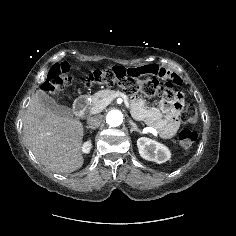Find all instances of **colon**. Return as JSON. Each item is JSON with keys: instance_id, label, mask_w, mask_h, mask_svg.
I'll use <instances>...</instances> for the list:
<instances>
[{"instance_id": "1", "label": "colon", "mask_w": 236, "mask_h": 236, "mask_svg": "<svg viewBox=\"0 0 236 236\" xmlns=\"http://www.w3.org/2000/svg\"><path fill=\"white\" fill-rule=\"evenodd\" d=\"M119 66L99 68L94 70L87 78L86 85H113L118 84L130 95L142 94L149 98L160 97L174 103L181 100L180 94L175 90L171 82H164L157 78L147 80L130 79L118 74ZM72 83L71 67L67 63L53 65L48 73L42 90L49 95H54L67 88ZM185 124H196L199 121L198 110L194 105H189L181 116ZM195 131L184 129L179 134V144L184 151H189L197 141Z\"/></svg>"}]
</instances>
